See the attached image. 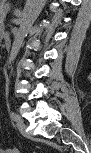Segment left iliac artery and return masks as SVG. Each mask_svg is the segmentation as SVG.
I'll return each instance as SVG.
<instances>
[{
    "label": "left iliac artery",
    "mask_w": 91,
    "mask_h": 153,
    "mask_svg": "<svg viewBox=\"0 0 91 153\" xmlns=\"http://www.w3.org/2000/svg\"><path fill=\"white\" fill-rule=\"evenodd\" d=\"M10 118L14 121H17L19 119V116L15 112L11 111Z\"/></svg>",
    "instance_id": "obj_1"
}]
</instances>
